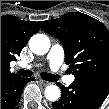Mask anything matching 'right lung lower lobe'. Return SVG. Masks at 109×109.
I'll return each instance as SVG.
<instances>
[{
  "label": "right lung lower lobe",
  "mask_w": 109,
  "mask_h": 109,
  "mask_svg": "<svg viewBox=\"0 0 109 109\" xmlns=\"http://www.w3.org/2000/svg\"><path fill=\"white\" fill-rule=\"evenodd\" d=\"M34 77L22 78L17 75L1 80V109H13L18 104L25 84Z\"/></svg>",
  "instance_id": "1"
}]
</instances>
